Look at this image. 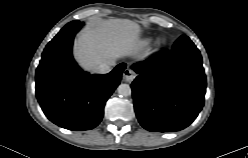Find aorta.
Wrapping results in <instances>:
<instances>
[{"label": "aorta", "mask_w": 248, "mask_h": 158, "mask_svg": "<svg viewBox=\"0 0 248 158\" xmlns=\"http://www.w3.org/2000/svg\"><path fill=\"white\" fill-rule=\"evenodd\" d=\"M117 91L121 97H128L132 93L131 87L128 84H120L117 88Z\"/></svg>", "instance_id": "aorta-1"}]
</instances>
